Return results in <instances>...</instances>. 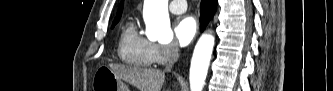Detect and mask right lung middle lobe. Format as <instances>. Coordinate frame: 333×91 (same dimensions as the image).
Here are the masks:
<instances>
[{
	"mask_svg": "<svg viewBox=\"0 0 333 91\" xmlns=\"http://www.w3.org/2000/svg\"><path fill=\"white\" fill-rule=\"evenodd\" d=\"M119 19L120 18H116V19H114V21H113V24H112V28L119 22Z\"/></svg>",
	"mask_w": 333,
	"mask_h": 91,
	"instance_id": "1",
	"label": "right lung middle lobe"
}]
</instances>
